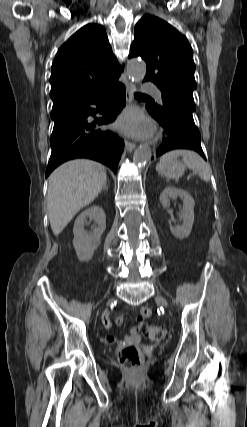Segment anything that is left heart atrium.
<instances>
[{"mask_svg":"<svg viewBox=\"0 0 247 427\" xmlns=\"http://www.w3.org/2000/svg\"><path fill=\"white\" fill-rule=\"evenodd\" d=\"M116 126L125 134L137 138H147L153 132V124L136 109L125 112Z\"/></svg>","mask_w":247,"mask_h":427,"instance_id":"obj_1","label":"left heart atrium"}]
</instances>
